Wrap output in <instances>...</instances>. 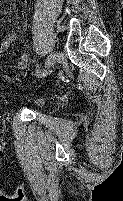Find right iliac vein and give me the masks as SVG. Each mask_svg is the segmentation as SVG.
<instances>
[{
	"mask_svg": "<svg viewBox=\"0 0 123 201\" xmlns=\"http://www.w3.org/2000/svg\"><path fill=\"white\" fill-rule=\"evenodd\" d=\"M55 60H56V54L55 52H51L45 63L46 70H49L54 65Z\"/></svg>",
	"mask_w": 123,
	"mask_h": 201,
	"instance_id": "63e3f726",
	"label": "right iliac vein"
}]
</instances>
